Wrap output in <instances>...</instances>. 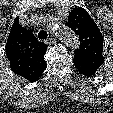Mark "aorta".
Here are the masks:
<instances>
[{
  "mask_svg": "<svg viewBox=\"0 0 113 113\" xmlns=\"http://www.w3.org/2000/svg\"><path fill=\"white\" fill-rule=\"evenodd\" d=\"M53 24V33L64 46L67 48H76L79 46L77 35L69 27L58 22H54Z\"/></svg>",
  "mask_w": 113,
  "mask_h": 113,
  "instance_id": "obj_1",
  "label": "aorta"
}]
</instances>
